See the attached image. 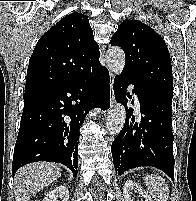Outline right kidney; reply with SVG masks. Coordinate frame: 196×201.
Masks as SVG:
<instances>
[{"instance_id":"obj_1","label":"right kidney","mask_w":196,"mask_h":201,"mask_svg":"<svg viewBox=\"0 0 196 201\" xmlns=\"http://www.w3.org/2000/svg\"><path fill=\"white\" fill-rule=\"evenodd\" d=\"M69 201V191L66 186H58L49 191L43 201Z\"/></svg>"}]
</instances>
